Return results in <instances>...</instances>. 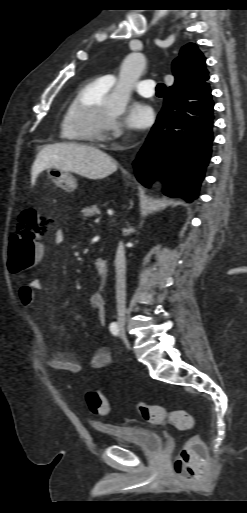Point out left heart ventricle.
Wrapping results in <instances>:
<instances>
[{"label": "left heart ventricle", "mask_w": 247, "mask_h": 513, "mask_svg": "<svg viewBox=\"0 0 247 513\" xmlns=\"http://www.w3.org/2000/svg\"><path fill=\"white\" fill-rule=\"evenodd\" d=\"M108 112L111 114V111L108 109Z\"/></svg>", "instance_id": "1"}]
</instances>
